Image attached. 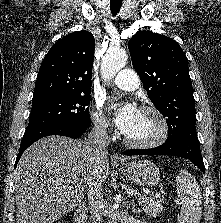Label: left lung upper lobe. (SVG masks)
<instances>
[{"label": "left lung upper lobe", "instance_id": "5c2ea615", "mask_svg": "<svg viewBox=\"0 0 221 223\" xmlns=\"http://www.w3.org/2000/svg\"><path fill=\"white\" fill-rule=\"evenodd\" d=\"M128 48L149 98L167 117L166 141L197 135L188 60L179 44L161 34L139 31L129 40Z\"/></svg>", "mask_w": 221, "mask_h": 223}]
</instances>
